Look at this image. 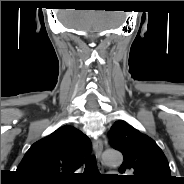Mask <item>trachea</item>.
I'll list each match as a JSON object with an SVG mask.
<instances>
[{
  "instance_id": "trachea-1",
  "label": "trachea",
  "mask_w": 184,
  "mask_h": 184,
  "mask_svg": "<svg viewBox=\"0 0 184 184\" xmlns=\"http://www.w3.org/2000/svg\"><path fill=\"white\" fill-rule=\"evenodd\" d=\"M85 172L90 174L99 173L95 156H89L85 159Z\"/></svg>"
}]
</instances>
